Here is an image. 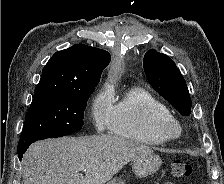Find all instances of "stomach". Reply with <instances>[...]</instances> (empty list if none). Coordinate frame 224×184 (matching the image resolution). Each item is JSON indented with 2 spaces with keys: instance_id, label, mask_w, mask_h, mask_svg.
Here are the masks:
<instances>
[{
  "instance_id": "0dacf381",
  "label": "stomach",
  "mask_w": 224,
  "mask_h": 184,
  "mask_svg": "<svg viewBox=\"0 0 224 184\" xmlns=\"http://www.w3.org/2000/svg\"><path fill=\"white\" fill-rule=\"evenodd\" d=\"M160 166V157L155 154H149L135 159L132 165V170L137 177L143 178L154 174ZM107 184H125V180L121 177H115Z\"/></svg>"
}]
</instances>
